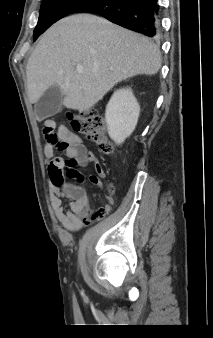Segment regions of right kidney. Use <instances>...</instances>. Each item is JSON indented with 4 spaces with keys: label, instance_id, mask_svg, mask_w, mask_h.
<instances>
[{
    "label": "right kidney",
    "instance_id": "1",
    "mask_svg": "<svg viewBox=\"0 0 213 338\" xmlns=\"http://www.w3.org/2000/svg\"><path fill=\"white\" fill-rule=\"evenodd\" d=\"M140 106L130 88L119 89L112 95L106 107L105 121L110 138L121 144L134 131Z\"/></svg>",
    "mask_w": 213,
    "mask_h": 338
}]
</instances>
